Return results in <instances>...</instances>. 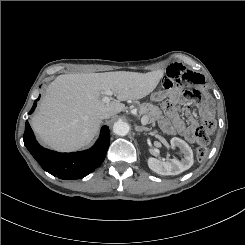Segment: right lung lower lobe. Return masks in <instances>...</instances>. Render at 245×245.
Here are the masks:
<instances>
[{
  "instance_id": "right-lung-lower-lobe-1",
  "label": "right lung lower lobe",
  "mask_w": 245,
  "mask_h": 245,
  "mask_svg": "<svg viewBox=\"0 0 245 245\" xmlns=\"http://www.w3.org/2000/svg\"><path fill=\"white\" fill-rule=\"evenodd\" d=\"M36 101L29 114L34 111ZM23 140L24 145L45 171L60 179L75 180L87 176L102 164L109 147L110 130L109 127L103 126L100 137L92 148L72 153H59L43 148L36 141L28 122L25 125Z\"/></svg>"
}]
</instances>
